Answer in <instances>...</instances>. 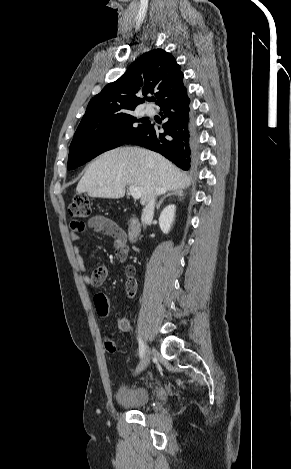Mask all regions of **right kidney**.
<instances>
[{"mask_svg":"<svg viewBox=\"0 0 291 469\" xmlns=\"http://www.w3.org/2000/svg\"><path fill=\"white\" fill-rule=\"evenodd\" d=\"M175 205L166 206L160 214L159 225L163 233L167 234L172 226L175 216Z\"/></svg>","mask_w":291,"mask_h":469,"instance_id":"1","label":"right kidney"}]
</instances>
